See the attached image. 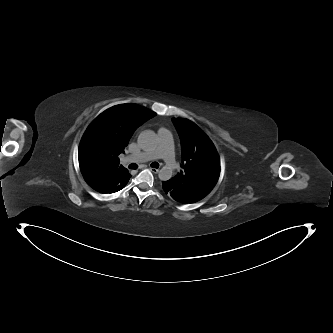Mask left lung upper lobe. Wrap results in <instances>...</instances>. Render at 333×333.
<instances>
[{"label": "left lung upper lobe", "mask_w": 333, "mask_h": 333, "mask_svg": "<svg viewBox=\"0 0 333 333\" xmlns=\"http://www.w3.org/2000/svg\"><path fill=\"white\" fill-rule=\"evenodd\" d=\"M181 141L182 164L177 176L169 179L178 189L197 202L207 196L218 181L220 161L209 137L188 119H172Z\"/></svg>", "instance_id": "1"}]
</instances>
